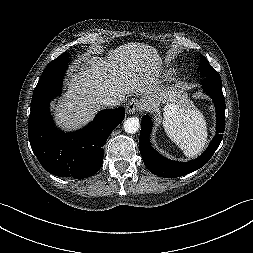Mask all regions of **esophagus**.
I'll return each instance as SVG.
<instances>
[{"label": "esophagus", "instance_id": "1", "mask_svg": "<svg viewBox=\"0 0 253 253\" xmlns=\"http://www.w3.org/2000/svg\"><path fill=\"white\" fill-rule=\"evenodd\" d=\"M142 108V105L140 104L139 101L133 99L129 101L127 104L126 111L128 114H134L136 111L140 110Z\"/></svg>", "mask_w": 253, "mask_h": 253}]
</instances>
